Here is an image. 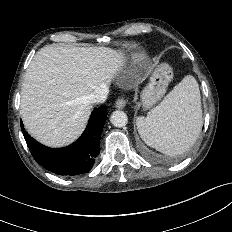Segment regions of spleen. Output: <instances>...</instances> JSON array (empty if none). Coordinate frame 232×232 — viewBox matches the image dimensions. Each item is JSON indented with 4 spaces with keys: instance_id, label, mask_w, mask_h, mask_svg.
<instances>
[{
    "instance_id": "1",
    "label": "spleen",
    "mask_w": 232,
    "mask_h": 232,
    "mask_svg": "<svg viewBox=\"0 0 232 232\" xmlns=\"http://www.w3.org/2000/svg\"><path fill=\"white\" fill-rule=\"evenodd\" d=\"M136 123L148 146L170 156L189 150L202 124L200 91L195 78L184 77L159 107L146 117H138Z\"/></svg>"
}]
</instances>
